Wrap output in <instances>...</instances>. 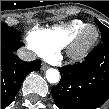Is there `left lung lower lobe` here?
Listing matches in <instances>:
<instances>
[{"mask_svg": "<svg viewBox=\"0 0 109 109\" xmlns=\"http://www.w3.org/2000/svg\"><path fill=\"white\" fill-rule=\"evenodd\" d=\"M60 83L52 95L60 109H95L109 98V41L102 42L84 63L59 68Z\"/></svg>", "mask_w": 109, "mask_h": 109, "instance_id": "left-lung-lower-lobe-1", "label": "left lung lower lobe"}]
</instances>
